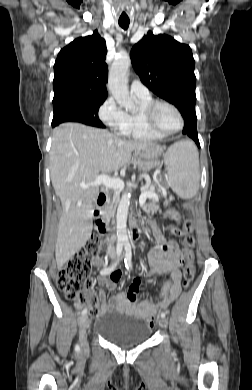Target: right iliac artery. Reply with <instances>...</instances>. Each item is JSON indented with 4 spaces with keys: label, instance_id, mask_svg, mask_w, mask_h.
I'll use <instances>...</instances> for the list:
<instances>
[{
    "label": "right iliac artery",
    "instance_id": "82829eb1",
    "mask_svg": "<svg viewBox=\"0 0 252 390\" xmlns=\"http://www.w3.org/2000/svg\"><path fill=\"white\" fill-rule=\"evenodd\" d=\"M122 249H123V245H122V244L117 245L116 253H117V258H118V259H117V261H116L115 263H113L110 267L104 268L103 270H101L100 273H101L102 275H107V274L111 273V272L116 268V266H117V264H118L119 257L121 256V253H122ZM86 313H87V310H86V309L82 310V312H81L82 315H85ZM75 349H76L77 351H79V346L76 345Z\"/></svg>",
    "mask_w": 252,
    "mask_h": 390
}]
</instances>
